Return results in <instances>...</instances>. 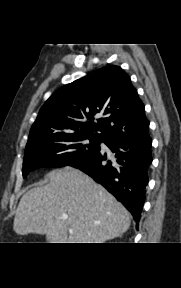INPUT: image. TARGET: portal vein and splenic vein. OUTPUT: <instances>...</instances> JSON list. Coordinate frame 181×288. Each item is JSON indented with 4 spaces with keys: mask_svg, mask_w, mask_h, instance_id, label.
<instances>
[{
    "mask_svg": "<svg viewBox=\"0 0 181 288\" xmlns=\"http://www.w3.org/2000/svg\"><path fill=\"white\" fill-rule=\"evenodd\" d=\"M62 218H63L64 220H66V219L68 218V216H67V215H63Z\"/></svg>",
    "mask_w": 181,
    "mask_h": 288,
    "instance_id": "obj_1",
    "label": "portal vein and splenic vein"
}]
</instances>
